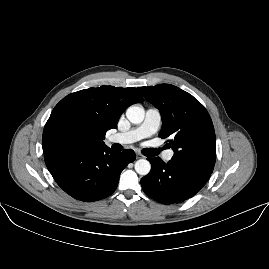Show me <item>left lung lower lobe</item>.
I'll list each match as a JSON object with an SVG mask.
<instances>
[{
	"mask_svg": "<svg viewBox=\"0 0 269 269\" xmlns=\"http://www.w3.org/2000/svg\"><path fill=\"white\" fill-rule=\"evenodd\" d=\"M151 171L141 179L143 191L162 204L180 203L193 197L208 181L211 171L171 159L147 158Z\"/></svg>",
	"mask_w": 269,
	"mask_h": 269,
	"instance_id": "left-lung-lower-lobe-1",
	"label": "left lung lower lobe"
}]
</instances>
